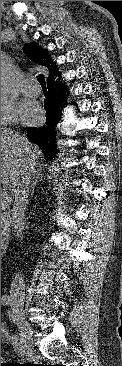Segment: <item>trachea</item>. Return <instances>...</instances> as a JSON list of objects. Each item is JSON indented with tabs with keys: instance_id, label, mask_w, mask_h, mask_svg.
<instances>
[{
	"instance_id": "3493384b",
	"label": "trachea",
	"mask_w": 122,
	"mask_h": 366,
	"mask_svg": "<svg viewBox=\"0 0 122 366\" xmlns=\"http://www.w3.org/2000/svg\"><path fill=\"white\" fill-rule=\"evenodd\" d=\"M37 80L42 88H46V82H45L44 75H42V74L38 75Z\"/></svg>"
}]
</instances>
